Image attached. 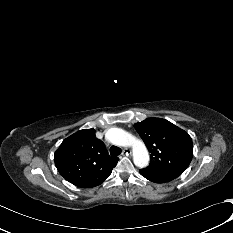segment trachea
<instances>
[{
  "label": "trachea",
  "mask_w": 233,
  "mask_h": 233,
  "mask_svg": "<svg viewBox=\"0 0 233 233\" xmlns=\"http://www.w3.org/2000/svg\"><path fill=\"white\" fill-rule=\"evenodd\" d=\"M120 154H121V149H120L119 147L112 146V147L110 148V155H111L112 157H116V156H118V155H120Z\"/></svg>",
  "instance_id": "1"
}]
</instances>
